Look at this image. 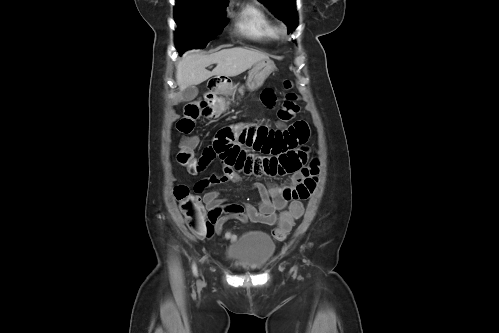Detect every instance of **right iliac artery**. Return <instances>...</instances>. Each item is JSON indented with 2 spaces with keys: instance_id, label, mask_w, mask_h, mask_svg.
<instances>
[{
  "instance_id": "right-iliac-artery-1",
  "label": "right iliac artery",
  "mask_w": 499,
  "mask_h": 333,
  "mask_svg": "<svg viewBox=\"0 0 499 333\" xmlns=\"http://www.w3.org/2000/svg\"><path fill=\"white\" fill-rule=\"evenodd\" d=\"M192 269H193L194 274L197 275V268H196L195 264H193Z\"/></svg>"
}]
</instances>
